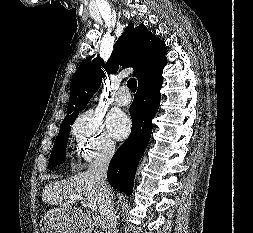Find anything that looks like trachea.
Listing matches in <instances>:
<instances>
[{"label": "trachea", "mask_w": 253, "mask_h": 233, "mask_svg": "<svg viewBox=\"0 0 253 233\" xmlns=\"http://www.w3.org/2000/svg\"><path fill=\"white\" fill-rule=\"evenodd\" d=\"M127 86L132 92H136V89H137L136 79H134V78L129 79L127 82Z\"/></svg>", "instance_id": "obj_1"}]
</instances>
